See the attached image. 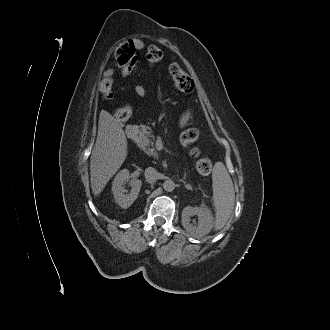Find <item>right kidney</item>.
Wrapping results in <instances>:
<instances>
[{
    "mask_svg": "<svg viewBox=\"0 0 330 330\" xmlns=\"http://www.w3.org/2000/svg\"><path fill=\"white\" fill-rule=\"evenodd\" d=\"M126 182H129L131 187V190L128 193L124 186ZM141 186V180L131 178L128 169L121 170L115 176L112 184V192L115 202H117L121 208L126 209L130 207L132 203L137 199Z\"/></svg>",
    "mask_w": 330,
    "mask_h": 330,
    "instance_id": "1",
    "label": "right kidney"
}]
</instances>
